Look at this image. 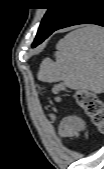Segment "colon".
Here are the masks:
<instances>
[{"instance_id": "colon-1", "label": "colon", "mask_w": 104, "mask_h": 169, "mask_svg": "<svg viewBox=\"0 0 104 169\" xmlns=\"http://www.w3.org/2000/svg\"><path fill=\"white\" fill-rule=\"evenodd\" d=\"M64 90V85L59 84L55 87V100L60 101L61 93ZM75 99L79 107L84 111L89 118L91 124L98 130H104V109L102 102L97 95L91 91L78 90L75 93Z\"/></svg>"}]
</instances>
